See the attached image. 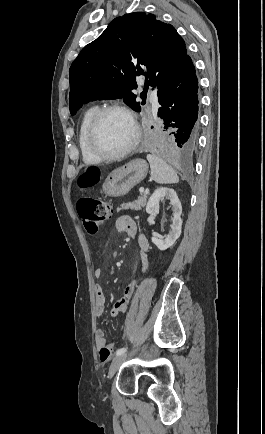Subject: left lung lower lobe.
<instances>
[{"label": "left lung lower lobe", "mask_w": 265, "mask_h": 434, "mask_svg": "<svg viewBox=\"0 0 265 434\" xmlns=\"http://www.w3.org/2000/svg\"><path fill=\"white\" fill-rule=\"evenodd\" d=\"M162 106L158 117L164 119V128L170 140H157L150 144L159 154H189L197 146L200 123L198 121V79L191 57L188 55L158 98Z\"/></svg>", "instance_id": "0a47b994"}]
</instances>
